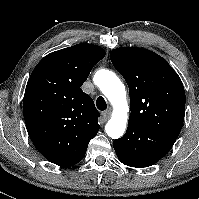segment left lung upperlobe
Returning <instances> with one entry per match:
<instances>
[{
	"instance_id": "left-lung-upper-lobe-1",
	"label": "left lung upper lobe",
	"mask_w": 199,
	"mask_h": 199,
	"mask_svg": "<svg viewBox=\"0 0 199 199\" xmlns=\"http://www.w3.org/2000/svg\"><path fill=\"white\" fill-rule=\"evenodd\" d=\"M110 59L129 87V121L176 141L184 122L186 99L174 69L158 54L136 47L114 49Z\"/></svg>"
}]
</instances>
